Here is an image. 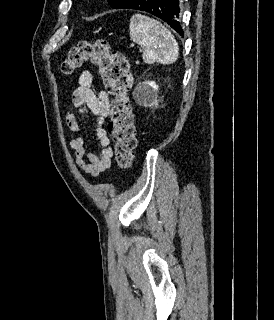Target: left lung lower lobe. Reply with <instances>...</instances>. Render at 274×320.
<instances>
[{"label": "left lung lower lobe", "instance_id": "1", "mask_svg": "<svg viewBox=\"0 0 274 320\" xmlns=\"http://www.w3.org/2000/svg\"><path fill=\"white\" fill-rule=\"evenodd\" d=\"M123 8L149 12L165 22L175 31L183 35L179 18V0H131Z\"/></svg>", "mask_w": 274, "mask_h": 320}]
</instances>
